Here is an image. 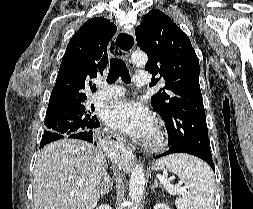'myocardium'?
Segmentation results:
<instances>
[{"mask_svg":"<svg viewBox=\"0 0 253 209\" xmlns=\"http://www.w3.org/2000/svg\"><path fill=\"white\" fill-rule=\"evenodd\" d=\"M167 144V132L160 123L154 125L152 133L146 139L144 146L147 150L156 152L162 150Z\"/></svg>","mask_w":253,"mask_h":209,"instance_id":"obj_1","label":"myocardium"}]
</instances>
